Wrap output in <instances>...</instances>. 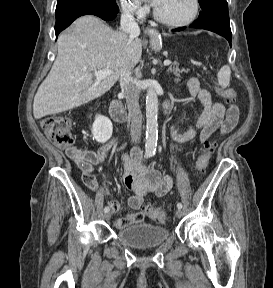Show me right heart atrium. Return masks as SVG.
Listing matches in <instances>:
<instances>
[{"instance_id":"obj_1","label":"right heart atrium","mask_w":273,"mask_h":288,"mask_svg":"<svg viewBox=\"0 0 273 288\" xmlns=\"http://www.w3.org/2000/svg\"><path fill=\"white\" fill-rule=\"evenodd\" d=\"M119 4L122 12L135 20L142 19L147 13V8L139 0H119Z\"/></svg>"}]
</instances>
